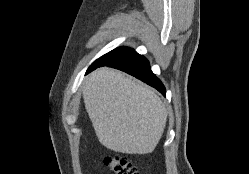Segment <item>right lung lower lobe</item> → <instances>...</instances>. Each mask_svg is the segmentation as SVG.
<instances>
[{
    "instance_id": "right-lung-lower-lobe-1",
    "label": "right lung lower lobe",
    "mask_w": 249,
    "mask_h": 174,
    "mask_svg": "<svg viewBox=\"0 0 249 174\" xmlns=\"http://www.w3.org/2000/svg\"><path fill=\"white\" fill-rule=\"evenodd\" d=\"M101 66H108L122 70L154 87L164 96L166 94L164 85L152 73L148 60L144 56L139 55L134 50L125 54L123 57L116 61L93 63L87 70V73Z\"/></svg>"
}]
</instances>
